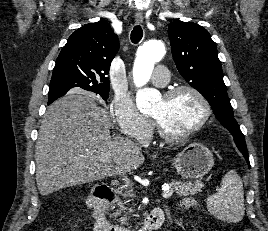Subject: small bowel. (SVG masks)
Wrapping results in <instances>:
<instances>
[{
  "instance_id": "1",
  "label": "small bowel",
  "mask_w": 268,
  "mask_h": 231,
  "mask_svg": "<svg viewBox=\"0 0 268 231\" xmlns=\"http://www.w3.org/2000/svg\"><path fill=\"white\" fill-rule=\"evenodd\" d=\"M195 205H196L195 200H193V199H187V200H185V201L181 204L180 208H181L182 210H187V209H189V208L194 207Z\"/></svg>"
}]
</instances>
